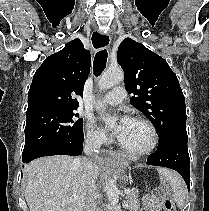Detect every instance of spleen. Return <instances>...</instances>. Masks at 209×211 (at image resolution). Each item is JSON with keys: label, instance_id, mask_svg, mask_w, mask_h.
I'll use <instances>...</instances> for the list:
<instances>
[{"label": "spleen", "instance_id": "spleen-1", "mask_svg": "<svg viewBox=\"0 0 209 211\" xmlns=\"http://www.w3.org/2000/svg\"><path fill=\"white\" fill-rule=\"evenodd\" d=\"M158 172L169 182L177 206L183 208L186 202V186L182 178L174 171L166 168H159Z\"/></svg>", "mask_w": 209, "mask_h": 211}]
</instances>
